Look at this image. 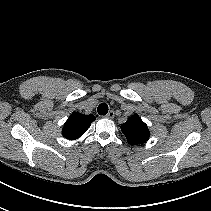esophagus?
Returning a JSON list of instances; mask_svg holds the SVG:
<instances>
[{
	"mask_svg": "<svg viewBox=\"0 0 211 211\" xmlns=\"http://www.w3.org/2000/svg\"><path fill=\"white\" fill-rule=\"evenodd\" d=\"M114 116H115L114 111H109L108 114L105 117L108 118V119H113Z\"/></svg>",
	"mask_w": 211,
	"mask_h": 211,
	"instance_id": "esophagus-1",
	"label": "esophagus"
}]
</instances>
